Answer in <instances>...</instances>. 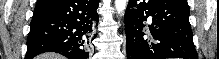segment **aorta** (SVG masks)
Wrapping results in <instances>:
<instances>
[{"label": "aorta", "instance_id": "1", "mask_svg": "<svg viewBox=\"0 0 219 59\" xmlns=\"http://www.w3.org/2000/svg\"><path fill=\"white\" fill-rule=\"evenodd\" d=\"M128 4V0H115L114 5L118 14L122 13Z\"/></svg>", "mask_w": 219, "mask_h": 59}]
</instances>
